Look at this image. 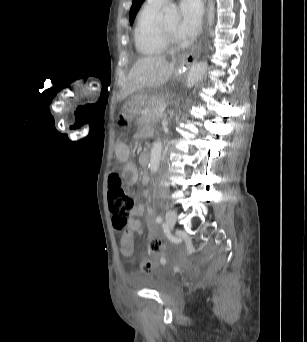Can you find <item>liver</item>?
Masks as SVG:
<instances>
[{
  "label": "liver",
  "instance_id": "6515ba94",
  "mask_svg": "<svg viewBox=\"0 0 307 342\" xmlns=\"http://www.w3.org/2000/svg\"><path fill=\"white\" fill-rule=\"evenodd\" d=\"M175 64L176 58H173L172 62H167L166 56L139 58L126 78L125 88L120 94L122 100L136 90L159 88L166 84L173 74Z\"/></svg>",
  "mask_w": 307,
  "mask_h": 342
}]
</instances>
